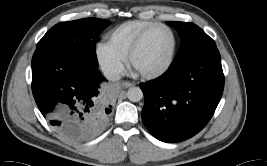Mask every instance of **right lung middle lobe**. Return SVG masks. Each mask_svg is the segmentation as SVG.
Here are the masks:
<instances>
[{
	"label": "right lung middle lobe",
	"instance_id": "obj_1",
	"mask_svg": "<svg viewBox=\"0 0 267 166\" xmlns=\"http://www.w3.org/2000/svg\"><path fill=\"white\" fill-rule=\"evenodd\" d=\"M110 21L85 18L61 22L53 26L38 42L37 47L56 46L98 67L95 43Z\"/></svg>",
	"mask_w": 267,
	"mask_h": 166
}]
</instances>
